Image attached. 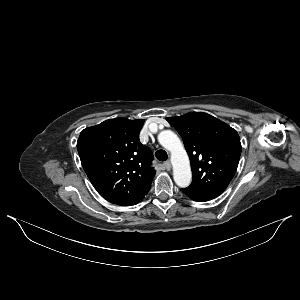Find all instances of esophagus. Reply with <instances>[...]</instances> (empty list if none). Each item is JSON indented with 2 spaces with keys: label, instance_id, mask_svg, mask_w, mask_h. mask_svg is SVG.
I'll list each match as a JSON object with an SVG mask.
<instances>
[{
  "label": "esophagus",
  "instance_id": "1",
  "mask_svg": "<svg viewBox=\"0 0 300 300\" xmlns=\"http://www.w3.org/2000/svg\"><path fill=\"white\" fill-rule=\"evenodd\" d=\"M163 165L166 168V170H170L171 169V163L169 161L164 162Z\"/></svg>",
  "mask_w": 300,
  "mask_h": 300
}]
</instances>
